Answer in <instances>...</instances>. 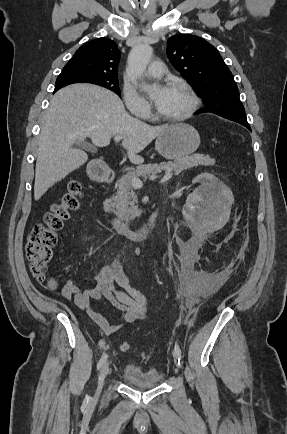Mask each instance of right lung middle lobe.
Masks as SVG:
<instances>
[{
    "label": "right lung middle lobe",
    "mask_w": 287,
    "mask_h": 434,
    "mask_svg": "<svg viewBox=\"0 0 287 434\" xmlns=\"http://www.w3.org/2000/svg\"><path fill=\"white\" fill-rule=\"evenodd\" d=\"M72 83H90L103 86L121 96L117 77L100 76L85 73L80 70L64 68L56 80L55 87H64Z\"/></svg>",
    "instance_id": "dd1d6c3e"
}]
</instances>
